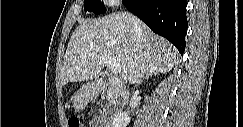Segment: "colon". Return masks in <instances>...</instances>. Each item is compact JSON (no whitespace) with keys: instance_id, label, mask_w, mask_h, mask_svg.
I'll return each instance as SVG.
<instances>
[{"instance_id":"obj_1","label":"colon","mask_w":243,"mask_h":127,"mask_svg":"<svg viewBox=\"0 0 243 127\" xmlns=\"http://www.w3.org/2000/svg\"><path fill=\"white\" fill-rule=\"evenodd\" d=\"M69 127H81L83 126L80 120L76 117H71L68 120Z\"/></svg>"}]
</instances>
